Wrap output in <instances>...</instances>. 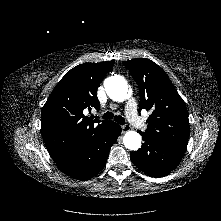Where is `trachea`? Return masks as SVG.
Listing matches in <instances>:
<instances>
[{"label": "trachea", "instance_id": "obj_1", "mask_svg": "<svg viewBox=\"0 0 221 221\" xmlns=\"http://www.w3.org/2000/svg\"><path fill=\"white\" fill-rule=\"evenodd\" d=\"M103 119H113L119 123L120 125H124L125 124V119L120 116V115H115L112 113V112H106L103 116H102Z\"/></svg>", "mask_w": 221, "mask_h": 221}]
</instances>
